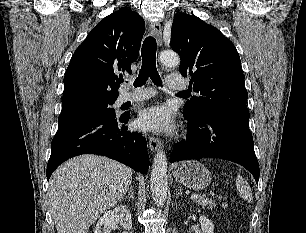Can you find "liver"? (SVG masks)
Returning a JSON list of instances; mask_svg holds the SVG:
<instances>
[{
	"label": "liver",
	"mask_w": 306,
	"mask_h": 233,
	"mask_svg": "<svg viewBox=\"0 0 306 233\" xmlns=\"http://www.w3.org/2000/svg\"><path fill=\"white\" fill-rule=\"evenodd\" d=\"M132 169L109 158L84 154L51 176L48 198L57 233H88L106 210L125 196Z\"/></svg>",
	"instance_id": "obj_1"
}]
</instances>
